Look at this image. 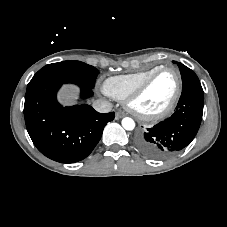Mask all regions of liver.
<instances>
[{"instance_id": "liver-1", "label": "liver", "mask_w": 227, "mask_h": 227, "mask_svg": "<svg viewBox=\"0 0 227 227\" xmlns=\"http://www.w3.org/2000/svg\"><path fill=\"white\" fill-rule=\"evenodd\" d=\"M78 88L75 86H64L59 92L58 98L65 105H71L77 98Z\"/></svg>"}]
</instances>
